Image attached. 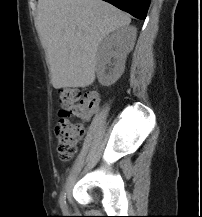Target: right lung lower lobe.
<instances>
[{"mask_svg": "<svg viewBox=\"0 0 202 217\" xmlns=\"http://www.w3.org/2000/svg\"><path fill=\"white\" fill-rule=\"evenodd\" d=\"M126 11L134 17L144 20L151 0H104Z\"/></svg>", "mask_w": 202, "mask_h": 217, "instance_id": "right-lung-lower-lobe-1", "label": "right lung lower lobe"}]
</instances>
